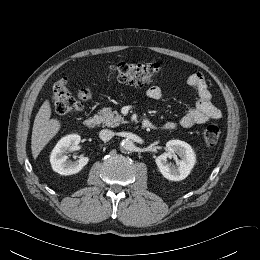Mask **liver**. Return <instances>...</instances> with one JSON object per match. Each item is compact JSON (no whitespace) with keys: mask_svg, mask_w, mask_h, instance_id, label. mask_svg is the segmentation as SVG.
<instances>
[{"mask_svg":"<svg viewBox=\"0 0 260 260\" xmlns=\"http://www.w3.org/2000/svg\"><path fill=\"white\" fill-rule=\"evenodd\" d=\"M51 105L45 100L40 107L33 124L31 149L34 159L38 157L48 142L58 133L61 124L57 119H50Z\"/></svg>","mask_w":260,"mask_h":260,"instance_id":"6515ba94","label":"liver"}]
</instances>
